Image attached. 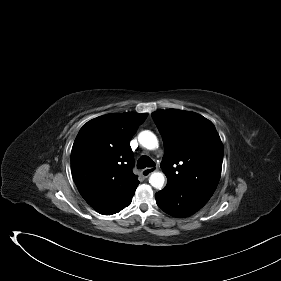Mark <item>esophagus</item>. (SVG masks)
<instances>
[{"mask_svg":"<svg viewBox=\"0 0 281 281\" xmlns=\"http://www.w3.org/2000/svg\"><path fill=\"white\" fill-rule=\"evenodd\" d=\"M156 170H157V167L145 168V169L142 170V174H143V176L148 177L150 174H152Z\"/></svg>","mask_w":281,"mask_h":281,"instance_id":"obj_1","label":"esophagus"}]
</instances>
